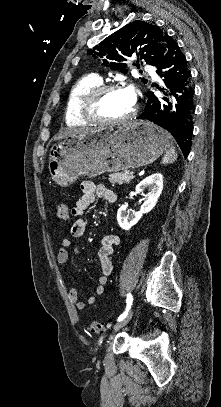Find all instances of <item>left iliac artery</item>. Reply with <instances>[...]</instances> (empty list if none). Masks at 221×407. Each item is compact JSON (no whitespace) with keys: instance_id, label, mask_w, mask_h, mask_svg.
<instances>
[{"instance_id":"obj_1","label":"left iliac artery","mask_w":221,"mask_h":407,"mask_svg":"<svg viewBox=\"0 0 221 407\" xmlns=\"http://www.w3.org/2000/svg\"><path fill=\"white\" fill-rule=\"evenodd\" d=\"M127 306H126V310H125V312L123 313V314H121L120 316H119V318H118V322H120L121 320H123L125 317H126V315H127V313H128V311L130 310V308H131V305H132V302H133V297H132V295L129 293V294H127Z\"/></svg>"}]
</instances>
